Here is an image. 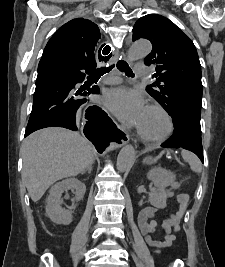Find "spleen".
Returning <instances> with one entry per match:
<instances>
[{"label": "spleen", "instance_id": "spleen-1", "mask_svg": "<svg viewBox=\"0 0 225 267\" xmlns=\"http://www.w3.org/2000/svg\"><path fill=\"white\" fill-rule=\"evenodd\" d=\"M181 155H182V158L186 162H188L191 170H193L194 172H200L202 170L201 162L194 154L186 150H182Z\"/></svg>", "mask_w": 225, "mask_h": 267}]
</instances>
